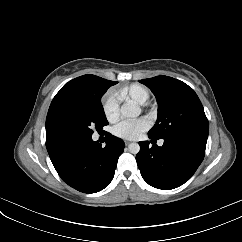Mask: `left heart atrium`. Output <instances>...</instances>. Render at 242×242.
Here are the masks:
<instances>
[{
    "label": "left heart atrium",
    "instance_id": "1",
    "mask_svg": "<svg viewBox=\"0 0 242 242\" xmlns=\"http://www.w3.org/2000/svg\"><path fill=\"white\" fill-rule=\"evenodd\" d=\"M150 123L146 118H139L134 121H121L113 128V134L127 140L138 139L141 134L147 131Z\"/></svg>",
    "mask_w": 242,
    "mask_h": 242
}]
</instances>
